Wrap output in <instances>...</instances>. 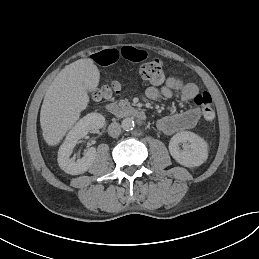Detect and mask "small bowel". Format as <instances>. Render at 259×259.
Masks as SVG:
<instances>
[{"label": "small bowel", "instance_id": "c3829d8e", "mask_svg": "<svg viewBox=\"0 0 259 259\" xmlns=\"http://www.w3.org/2000/svg\"><path fill=\"white\" fill-rule=\"evenodd\" d=\"M147 57V51L133 46H124L120 49H105L92 55V60L100 66H108L117 62L120 58L129 61L139 62ZM178 93L184 103L195 99L199 93V87L194 83H185L180 78L168 77L160 88L149 87L146 95L150 99L159 97L171 98ZM202 115L200 107H193L186 111L164 116L156 121V128L165 135L194 128Z\"/></svg>", "mask_w": 259, "mask_h": 259}]
</instances>
